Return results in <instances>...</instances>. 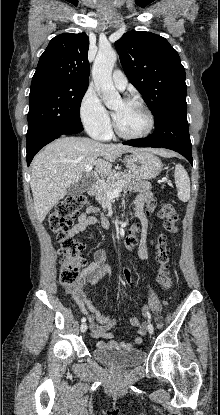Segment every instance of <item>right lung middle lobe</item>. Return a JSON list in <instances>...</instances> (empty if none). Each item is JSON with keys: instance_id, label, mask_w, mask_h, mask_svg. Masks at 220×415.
Segmentation results:
<instances>
[{"instance_id": "obj_1", "label": "right lung middle lobe", "mask_w": 220, "mask_h": 415, "mask_svg": "<svg viewBox=\"0 0 220 415\" xmlns=\"http://www.w3.org/2000/svg\"><path fill=\"white\" fill-rule=\"evenodd\" d=\"M87 88L57 80L31 83L27 149L46 135L83 130L80 105Z\"/></svg>"}]
</instances>
